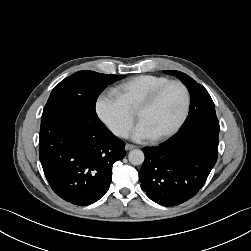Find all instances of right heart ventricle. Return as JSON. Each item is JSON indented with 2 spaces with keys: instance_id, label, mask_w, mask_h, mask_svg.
Returning <instances> with one entry per match:
<instances>
[{
  "instance_id": "1",
  "label": "right heart ventricle",
  "mask_w": 251,
  "mask_h": 251,
  "mask_svg": "<svg viewBox=\"0 0 251 251\" xmlns=\"http://www.w3.org/2000/svg\"><path fill=\"white\" fill-rule=\"evenodd\" d=\"M169 81L167 77L156 75H139L116 87V92L131 112L159 86Z\"/></svg>"
}]
</instances>
